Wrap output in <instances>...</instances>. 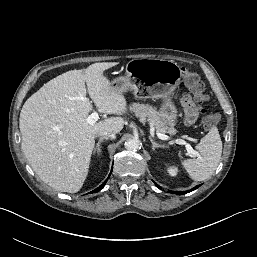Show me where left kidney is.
<instances>
[{
    "label": "left kidney",
    "mask_w": 257,
    "mask_h": 257,
    "mask_svg": "<svg viewBox=\"0 0 257 257\" xmlns=\"http://www.w3.org/2000/svg\"><path fill=\"white\" fill-rule=\"evenodd\" d=\"M167 171L171 176H176L178 169L176 167H168Z\"/></svg>",
    "instance_id": "5707ae66"
}]
</instances>
